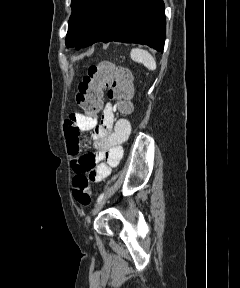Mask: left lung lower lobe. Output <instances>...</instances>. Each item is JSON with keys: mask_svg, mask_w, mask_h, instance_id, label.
<instances>
[{"mask_svg": "<svg viewBox=\"0 0 240 288\" xmlns=\"http://www.w3.org/2000/svg\"><path fill=\"white\" fill-rule=\"evenodd\" d=\"M163 0H109L103 16L82 47L95 42L148 45L163 51L165 13Z\"/></svg>", "mask_w": 240, "mask_h": 288, "instance_id": "0a47b994", "label": "left lung lower lobe"}]
</instances>
